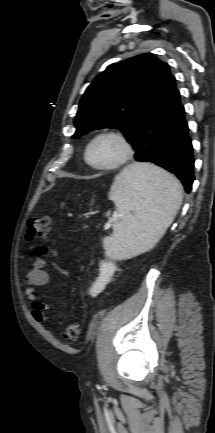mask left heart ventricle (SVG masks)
Instances as JSON below:
<instances>
[{
  "label": "left heart ventricle",
  "mask_w": 215,
  "mask_h": 433,
  "mask_svg": "<svg viewBox=\"0 0 215 433\" xmlns=\"http://www.w3.org/2000/svg\"><path fill=\"white\" fill-rule=\"evenodd\" d=\"M122 153V147L118 140L112 137H104L97 140L89 151V159L96 165H106L115 162Z\"/></svg>",
  "instance_id": "1"
}]
</instances>
